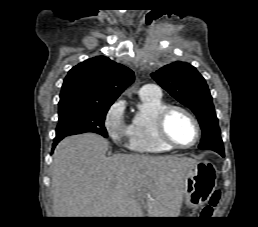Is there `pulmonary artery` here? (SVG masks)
<instances>
[{"mask_svg": "<svg viewBox=\"0 0 258 227\" xmlns=\"http://www.w3.org/2000/svg\"><path fill=\"white\" fill-rule=\"evenodd\" d=\"M139 93L161 96V90L159 89V87L153 84H147L142 86Z\"/></svg>", "mask_w": 258, "mask_h": 227, "instance_id": "pulmonary-artery-1", "label": "pulmonary artery"}]
</instances>
